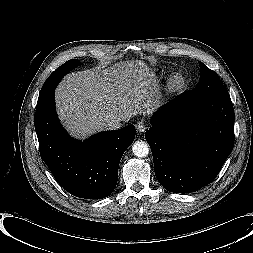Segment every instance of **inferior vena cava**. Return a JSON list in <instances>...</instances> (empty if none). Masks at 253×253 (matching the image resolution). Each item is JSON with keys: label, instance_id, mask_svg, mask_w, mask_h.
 Masks as SVG:
<instances>
[{"label": "inferior vena cava", "instance_id": "1", "mask_svg": "<svg viewBox=\"0 0 253 253\" xmlns=\"http://www.w3.org/2000/svg\"><path fill=\"white\" fill-rule=\"evenodd\" d=\"M121 119L120 118H110L107 120V129L115 130L121 127Z\"/></svg>", "mask_w": 253, "mask_h": 253}]
</instances>
